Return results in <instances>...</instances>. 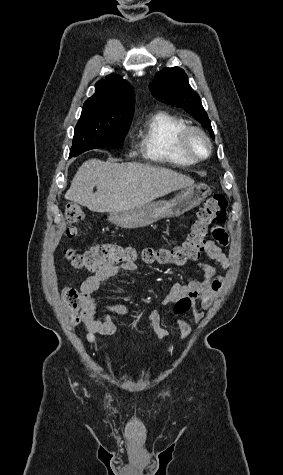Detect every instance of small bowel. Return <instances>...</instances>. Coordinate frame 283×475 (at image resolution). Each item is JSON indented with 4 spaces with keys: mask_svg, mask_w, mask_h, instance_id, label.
I'll return each instance as SVG.
<instances>
[{
    "mask_svg": "<svg viewBox=\"0 0 283 475\" xmlns=\"http://www.w3.org/2000/svg\"><path fill=\"white\" fill-rule=\"evenodd\" d=\"M207 230L218 244H223L225 248L232 246V241L228 238L231 236V229L227 223L216 220L215 223H209ZM213 240H209L205 245L207 256L226 269L229 265L228 257L223 253L220 246ZM198 268L201 276L186 284H172L161 303L164 306L177 304L180 293H193L194 307H189L192 311L194 321L200 323L204 318V311L208 310L216 296L220 291L223 276L218 273L216 267L208 263H199ZM137 270L134 263L109 264L97 268L82 284L80 288V306H81V323L86 331V341L90 345L96 344V335H112L116 332L117 326L112 320L113 315L117 316H133L140 315L146 318L159 340H164L168 336L167 330L163 326L162 318L156 309H148L142 312H136L131 307L117 302H111L104 306L103 313L98 316V302L95 293L101 290L103 284L111 277L119 273H132ZM175 313L177 309L175 307ZM180 337L186 340L191 334L189 323L183 319L178 320Z\"/></svg>",
    "mask_w": 283,
    "mask_h": 475,
    "instance_id": "c3829d8e",
    "label": "small bowel"
}]
</instances>
